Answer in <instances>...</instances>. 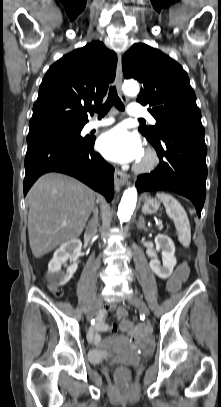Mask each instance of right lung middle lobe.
<instances>
[{"label": "right lung middle lobe", "instance_id": "1", "mask_svg": "<svg viewBox=\"0 0 221 407\" xmlns=\"http://www.w3.org/2000/svg\"><path fill=\"white\" fill-rule=\"evenodd\" d=\"M84 124L57 123L30 128L27 138L42 134H65L76 140L84 141L87 137L80 136Z\"/></svg>", "mask_w": 221, "mask_h": 407}]
</instances>
